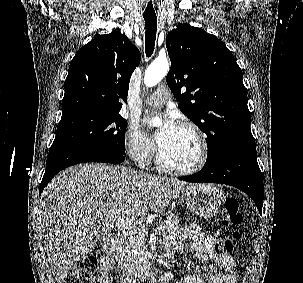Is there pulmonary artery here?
<instances>
[{
    "mask_svg": "<svg viewBox=\"0 0 303 283\" xmlns=\"http://www.w3.org/2000/svg\"><path fill=\"white\" fill-rule=\"evenodd\" d=\"M171 98V91L167 86H160L151 94L146 103L150 106L159 107L165 104Z\"/></svg>",
    "mask_w": 303,
    "mask_h": 283,
    "instance_id": "obj_1",
    "label": "pulmonary artery"
}]
</instances>
